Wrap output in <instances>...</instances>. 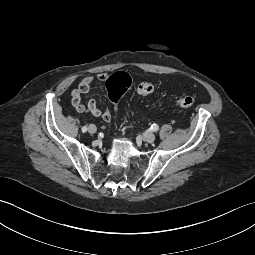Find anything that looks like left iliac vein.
Returning a JSON list of instances; mask_svg holds the SVG:
<instances>
[{
	"label": "left iliac vein",
	"instance_id": "4c4485c4",
	"mask_svg": "<svg viewBox=\"0 0 255 255\" xmlns=\"http://www.w3.org/2000/svg\"><path fill=\"white\" fill-rule=\"evenodd\" d=\"M155 135L153 133H147L144 135V140L148 143H152L155 140Z\"/></svg>",
	"mask_w": 255,
	"mask_h": 255
}]
</instances>
